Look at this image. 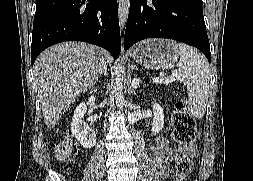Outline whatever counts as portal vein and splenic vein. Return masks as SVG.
Here are the masks:
<instances>
[{"label": "portal vein and splenic vein", "mask_w": 253, "mask_h": 181, "mask_svg": "<svg viewBox=\"0 0 253 181\" xmlns=\"http://www.w3.org/2000/svg\"><path fill=\"white\" fill-rule=\"evenodd\" d=\"M176 79H179V77L175 74V75H172L171 77H168V78L158 79L157 81L158 82H163V83H171L172 81H174Z\"/></svg>", "instance_id": "1"}]
</instances>
